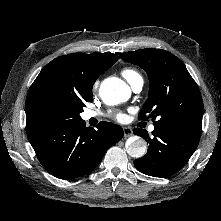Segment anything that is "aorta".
<instances>
[{
    "label": "aorta",
    "instance_id": "1",
    "mask_svg": "<svg viewBox=\"0 0 221 221\" xmlns=\"http://www.w3.org/2000/svg\"><path fill=\"white\" fill-rule=\"evenodd\" d=\"M100 97L107 105H116L127 100L129 89L118 78L105 79L99 89ZM127 153L134 158H141L146 154V141L138 136L130 137L126 143Z\"/></svg>",
    "mask_w": 221,
    "mask_h": 221
}]
</instances>
